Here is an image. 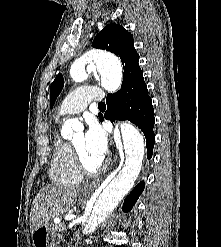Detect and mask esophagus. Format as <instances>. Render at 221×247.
Returning a JSON list of instances; mask_svg holds the SVG:
<instances>
[{
  "instance_id": "obj_1",
  "label": "esophagus",
  "mask_w": 221,
  "mask_h": 247,
  "mask_svg": "<svg viewBox=\"0 0 221 247\" xmlns=\"http://www.w3.org/2000/svg\"><path fill=\"white\" fill-rule=\"evenodd\" d=\"M99 183H100V179H95L91 183L85 185L81 189V192L82 193H88V192L92 191L94 188H96L99 185Z\"/></svg>"
}]
</instances>
